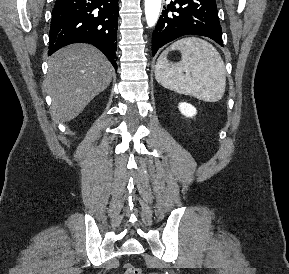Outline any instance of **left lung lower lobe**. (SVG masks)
Segmentation results:
<instances>
[{
	"label": "left lung lower lobe",
	"instance_id": "obj_1",
	"mask_svg": "<svg viewBox=\"0 0 289 274\" xmlns=\"http://www.w3.org/2000/svg\"><path fill=\"white\" fill-rule=\"evenodd\" d=\"M184 35L209 37L222 47V30L215 0H174L162 11L152 35V55Z\"/></svg>",
	"mask_w": 289,
	"mask_h": 274
}]
</instances>
